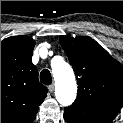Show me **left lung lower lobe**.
Here are the masks:
<instances>
[{"instance_id": "left-lung-lower-lobe-1", "label": "left lung lower lobe", "mask_w": 123, "mask_h": 123, "mask_svg": "<svg viewBox=\"0 0 123 123\" xmlns=\"http://www.w3.org/2000/svg\"><path fill=\"white\" fill-rule=\"evenodd\" d=\"M64 119L68 123H111L112 120L87 112L79 107L70 106L65 108Z\"/></svg>"}]
</instances>
